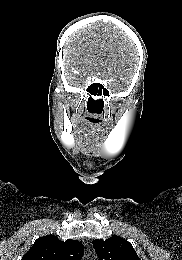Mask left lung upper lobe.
Returning <instances> with one entry per match:
<instances>
[{"instance_id":"5c2ea615","label":"left lung upper lobe","mask_w":182,"mask_h":260,"mask_svg":"<svg viewBox=\"0 0 182 260\" xmlns=\"http://www.w3.org/2000/svg\"><path fill=\"white\" fill-rule=\"evenodd\" d=\"M93 247L99 260H141L132 245L118 236L107 240L96 239Z\"/></svg>"}]
</instances>
